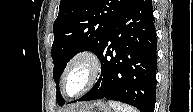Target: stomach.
I'll return each mask as SVG.
<instances>
[{"label":"stomach","mask_w":193,"mask_h":112,"mask_svg":"<svg viewBox=\"0 0 193 112\" xmlns=\"http://www.w3.org/2000/svg\"><path fill=\"white\" fill-rule=\"evenodd\" d=\"M76 112H112L111 108L103 101H94L87 103Z\"/></svg>","instance_id":"1"}]
</instances>
